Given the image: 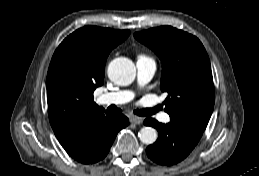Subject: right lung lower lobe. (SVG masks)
I'll return each instance as SVG.
<instances>
[{"mask_svg":"<svg viewBox=\"0 0 259 176\" xmlns=\"http://www.w3.org/2000/svg\"><path fill=\"white\" fill-rule=\"evenodd\" d=\"M129 124L122 114L107 113L92 130L71 147L64 148L76 161L91 164L102 160L109 152L117 133Z\"/></svg>","mask_w":259,"mask_h":176,"instance_id":"1","label":"right lung lower lobe"}]
</instances>
